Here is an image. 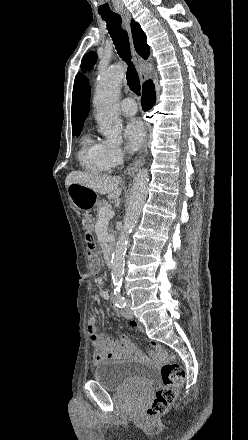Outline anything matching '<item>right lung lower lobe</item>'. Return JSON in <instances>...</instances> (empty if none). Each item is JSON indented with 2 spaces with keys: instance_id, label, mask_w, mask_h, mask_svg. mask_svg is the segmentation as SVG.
<instances>
[{
  "instance_id": "98d812e1",
  "label": "right lung lower lobe",
  "mask_w": 248,
  "mask_h": 440,
  "mask_svg": "<svg viewBox=\"0 0 248 440\" xmlns=\"http://www.w3.org/2000/svg\"><path fill=\"white\" fill-rule=\"evenodd\" d=\"M155 87L151 81H147L143 85L142 107L144 111H147L153 107L156 102Z\"/></svg>"
}]
</instances>
